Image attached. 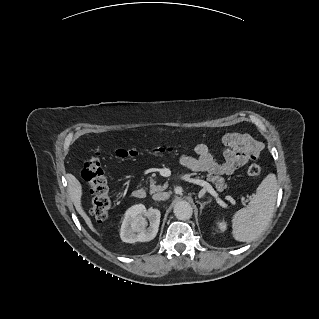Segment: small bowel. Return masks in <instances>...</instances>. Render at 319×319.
<instances>
[{"mask_svg": "<svg viewBox=\"0 0 319 319\" xmlns=\"http://www.w3.org/2000/svg\"><path fill=\"white\" fill-rule=\"evenodd\" d=\"M224 161L218 163L206 144L195 146L196 156L181 155L180 163L194 172H209L215 175H232L238 168L257 158L261 145L250 135L230 133L222 141Z\"/></svg>", "mask_w": 319, "mask_h": 319, "instance_id": "obj_1", "label": "small bowel"}]
</instances>
